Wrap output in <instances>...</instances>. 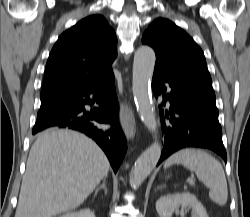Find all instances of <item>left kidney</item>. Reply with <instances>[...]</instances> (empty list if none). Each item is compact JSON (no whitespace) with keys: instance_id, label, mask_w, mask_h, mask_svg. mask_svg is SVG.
Here are the masks:
<instances>
[{"instance_id":"left-kidney-1","label":"left kidney","mask_w":250,"mask_h":217,"mask_svg":"<svg viewBox=\"0 0 250 217\" xmlns=\"http://www.w3.org/2000/svg\"><path fill=\"white\" fill-rule=\"evenodd\" d=\"M179 207L192 208V217H209L203 205L189 192L167 194L156 202L159 217H172L174 212H179Z\"/></svg>"}]
</instances>
